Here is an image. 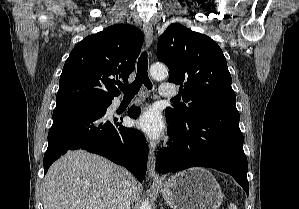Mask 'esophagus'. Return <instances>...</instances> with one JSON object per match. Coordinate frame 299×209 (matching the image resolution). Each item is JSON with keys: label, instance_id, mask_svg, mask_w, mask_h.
I'll use <instances>...</instances> for the list:
<instances>
[{"label": "esophagus", "instance_id": "1", "mask_svg": "<svg viewBox=\"0 0 299 209\" xmlns=\"http://www.w3.org/2000/svg\"><path fill=\"white\" fill-rule=\"evenodd\" d=\"M143 32L145 35V43H146V49L149 51L152 42H153V27L150 23H144L143 24ZM148 175L154 180H158V176L156 174V164H155V152L154 149H149V155H148Z\"/></svg>", "mask_w": 299, "mask_h": 209}]
</instances>
